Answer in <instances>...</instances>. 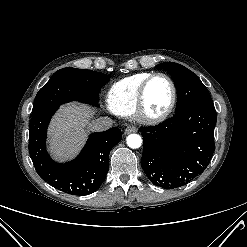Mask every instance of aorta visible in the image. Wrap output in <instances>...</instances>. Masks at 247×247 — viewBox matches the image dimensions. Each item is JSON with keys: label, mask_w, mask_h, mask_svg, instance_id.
<instances>
[{"label": "aorta", "mask_w": 247, "mask_h": 247, "mask_svg": "<svg viewBox=\"0 0 247 247\" xmlns=\"http://www.w3.org/2000/svg\"><path fill=\"white\" fill-rule=\"evenodd\" d=\"M127 145L132 149H137L142 145V138L138 134H130L126 138Z\"/></svg>", "instance_id": "obj_1"}]
</instances>
